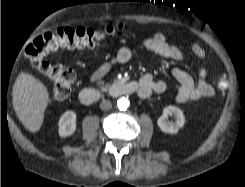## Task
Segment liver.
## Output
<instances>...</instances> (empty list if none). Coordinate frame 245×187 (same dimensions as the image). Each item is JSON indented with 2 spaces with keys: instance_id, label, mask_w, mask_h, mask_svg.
Wrapping results in <instances>:
<instances>
[{
  "instance_id": "obj_1",
  "label": "liver",
  "mask_w": 245,
  "mask_h": 187,
  "mask_svg": "<svg viewBox=\"0 0 245 187\" xmlns=\"http://www.w3.org/2000/svg\"><path fill=\"white\" fill-rule=\"evenodd\" d=\"M12 97L14 110L24 127L33 133L39 131L49 100L46 86L32 75L20 73Z\"/></svg>"
}]
</instances>
